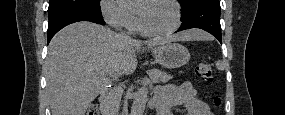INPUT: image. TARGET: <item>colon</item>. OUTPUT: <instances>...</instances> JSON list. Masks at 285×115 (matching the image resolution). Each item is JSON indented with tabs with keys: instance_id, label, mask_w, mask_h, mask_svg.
I'll use <instances>...</instances> for the list:
<instances>
[{
	"instance_id": "obj_1",
	"label": "colon",
	"mask_w": 285,
	"mask_h": 115,
	"mask_svg": "<svg viewBox=\"0 0 285 115\" xmlns=\"http://www.w3.org/2000/svg\"><path fill=\"white\" fill-rule=\"evenodd\" d=\"M196 74L204 82L211 83L213 80V72L211 65L207 61H201L196 66ZM215 105H219V98L214 99ZM87 115H98V110L95 106H91L87 112Z\"/></svg>"
}]
</instances>
